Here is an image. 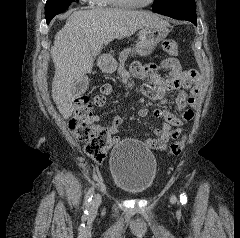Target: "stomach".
<instances>
[{
  "label": "stomach",
  "instance_id": "obj_1",
  "mask_svg": "<svg viewBox=\"0 0 240 238\" xmlns=\"http://www.w3.org/2000/svg\"><path fill=\"white\" fill-rule=\"evenodd\" d=\"M169 24L166 21L159 20L148 23L139 31V40L135 46V52L141 56L149 55L160 41L166 38L169 33ZM100 68L104 72H113L116 69V62H100Z\"/></svg>",
  "mask_w": 240,
  "mask_h": 238
}]
</instances>
